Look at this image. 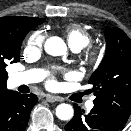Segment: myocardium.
<instances>
[{
  "label": "myocardium",
  "mask_w": 131,
  "mask_h": 131,
  "mask_svg": "<svg viewBox=\"0 0 131 131\" xmlns=\"http://www.w3.org/2000/svg\"><path fill=\"white\" fill-rule=\"evenodd\" d=\"M104 54L102 50L92 48L88 50L85 54V58L88 64L97 66L99 65L103 60Z\"/></svg>",
  "instance_id": "1"
}]
</instances>
